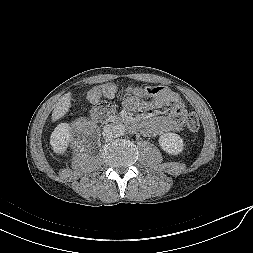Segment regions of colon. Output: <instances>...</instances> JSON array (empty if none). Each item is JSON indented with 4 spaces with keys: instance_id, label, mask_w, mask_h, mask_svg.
<instances>
[{
    "instance_id": "5ec220e1",
    "label": "colon",
    "mask_w": 253,
    "mask_h": 253,
    "mask_svg": "<svg viewBox=\"0 0 253 253\" xmlns=\"http://www.w3.org/2000/svg\"><path fill=\"white\" fill-rule=\"evenodd\" d=\"M164 86H146V87H129L127 92L136 96H158L165 92ZM117 93V88L113 84H107L103 87L94 88L89 91L88 99L96 102L102 95L112 97ZM186 126L191 131H197L200 127L199 117L196 113L191 112L186 117Z\"/></svg>"
}]
</instances>
